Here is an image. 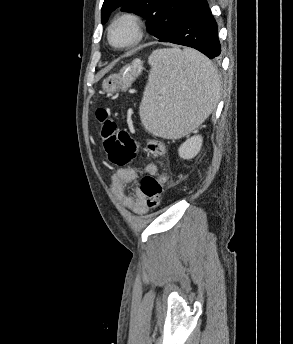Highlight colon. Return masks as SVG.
Wrapping results in <instances>:
<instances>
[{
	"label": "colon",
	"mask_w": 293,
	"mask_h": 344,
	"mask_svg": "<svg viewBox=\"0 0 293 344\" xmlns=\"http://www.w3.org/2000/svg\"><path fill=\"white\" fill-rule=\"evenodd\" d=\"M96 117L101 128V139L104 151L111 164L117 167L128 165L135 157L137 142L126 130L118 129L116 121L110 112L99 107ZM146 152L152 158H159L166 152L164 143L158 139H149L146 143ZM168 176L165 172L145 175L140 182V190L145 197L146 208H157L161 203L163 186Z\"/></svg>",
	"instance_id": "obj_1"
}]
</instances>
